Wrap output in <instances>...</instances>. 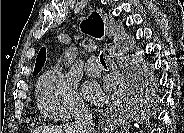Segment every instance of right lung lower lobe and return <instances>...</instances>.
<instances>
[{
  "mask_svg": "<svg viewBox=\"0 0 184 133\" xmlns=\"http://www.w3.org/2000/svg\"><path fill=\"white\" fill-rule=\"evenodd\" d=\"M121 42H123V44L126 42V39H122V41ZM126 46V45H125ZM127 49V48H126ZM128 53V52H127Z\"/></svg>",
  "mask_w": 184,
  "mask_h": 133,
  "instance_id": "obj_1",
  "label": "right lung lower lobe"
}]
</instances>
